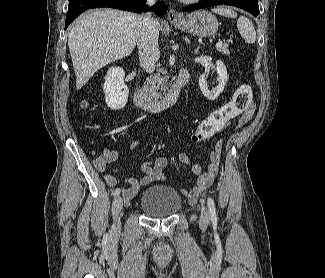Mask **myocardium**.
Here are the masks:
<instances>
[{"mask_svg":"<svg viewBox=\"0 0 325 278\" xmlns=\"http://www.w3.org/2000/svg\"><path fill=\"white\" fill-rule=\"evenodd\" d=\"M181 1H183L185 3H196V2H199L201 0H181Z\"/></svg>","mask_w":325,"mask_h":278,"instance_id":"1","label":"myocardium"}]
</instances>
